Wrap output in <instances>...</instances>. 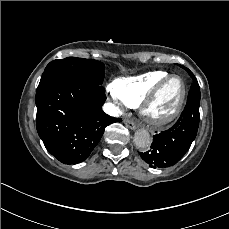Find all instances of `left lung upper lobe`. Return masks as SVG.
Masks as SVG:
<instances>
[{"label":"left lung upper lobe","mask_w":229,"mask_h":229,"mask_svg":"<svg viewBox=\"0 0 229 229\" xmlns=\"http://www.w3.org/2000/svg\"><path fill=\"white\" fill-rule=\"evenodd\" d=\"M180 67H182V68H186V67H184V66H182V65H179Z\"/></svg>","instance_id":"1"}]
</instances>
